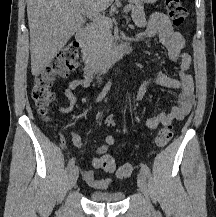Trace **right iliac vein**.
<instances>
[{"mask_svg": "<svg viewBox=\"0 0 216 217\" xmlns=\"http://www.w3.org/2000/svg\"><path fill=\"white\" fill-rule=\"evenodd\" d=\"M79 176V169L77 166H74L70 169L69 172V188L71 189L77 182Z\"/></svg>", "mask_w": 216, "mask_h": 217, "instance_id": "63e3f726", "label": "right iliac vein"}]
</instances>
